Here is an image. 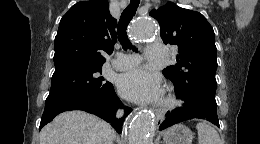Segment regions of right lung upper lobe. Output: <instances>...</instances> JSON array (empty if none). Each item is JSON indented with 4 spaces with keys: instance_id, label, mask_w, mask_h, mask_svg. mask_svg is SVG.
Wrapping results in <instances>:
<instances>
[{
    "instance_id": "right-lung-upper-lobe-1",
    "label": "right lung upper lobe",
    "mask_w": 260,
    "mask_h": 144,
    "mask_svg": "<svg viewBox=\"0 0 260 144\" xmlns=\"http://www.w3.org/2000/svg\"><path fill=\"white\" fill-rule=\"evenodd\" d=\"M108 0L81 1L62 17L55 37V69L72 64L103 65L117 41Z\"/></svg>"
}]
</instances>
